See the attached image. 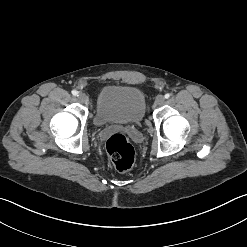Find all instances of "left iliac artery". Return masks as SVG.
Returning <instances> with one entry per match:
<instances>
[{
	"mask_svg": "<svg viewBox=\"0 0 247 247\" xmlns=\"http://www.w3.org/2000/svg\"><path fill=\"white\" fill-rule=\"evenodd\" d=\"M166 99H168L169 97H170V94L169 93H167V94H165V96H164Z\"/></svg>",
	"mask_w": 247,
	"mask_h": 247,
	"instance_id": "obj_1",
	"label": "left iliac artery"
}]
</instances>
